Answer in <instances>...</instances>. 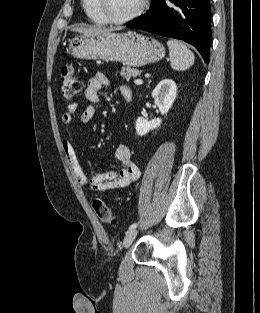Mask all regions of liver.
Instances as JSON below:
<instances>
[{"instance_id": "1", "label": "liver", "mask_w": 260, "mask_h": 313, "mask_svg": "<svg viewBox=\"0 0 260 313\" xmlns=\"http://www.w3.org/2000/svg\"><path fill=\"white\" fill-rule=\"evenodd\" d=\"M121 28H102V27H76L72 31L82 34L105 33L120 30Z\"/></svg>"}]
</instances>
